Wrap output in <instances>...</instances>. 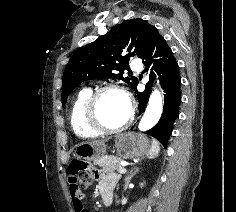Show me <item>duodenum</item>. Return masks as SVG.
<instances>
[{
	"mask_svg": "<svg viewBox=\"0 0 236 212\" xmlns=\"http://www.w3.org/2000/svg\"><path fill=\"white\" fill-rule=\"evenodd\" d=\"M100 198H101V202L102 203L107 204L112 199V192L111 191H107L105 189H101L100 190Z\"/></svg>",
	"mask_w": 236,
	"mask_h": 212,
	"instance_id": "obj_1",
	"label": "duodenum"
}]
</instances>
